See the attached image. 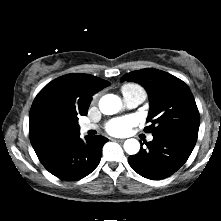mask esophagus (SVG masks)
<instances>
[{"label": "esophagus", "instance_id": "34e87169", "mask_svg": "<svg viewBox=\"0 0 221 221\" xmlns=\"http://www.w3.org/2000/svg\"><path fill=\"white\" fill-rule=\"evenodd\" d=\"M113 140L117 142H124V139H113Z\"/></svg>", "mask_w": 221, "mask_h": 221}]
</instances>
